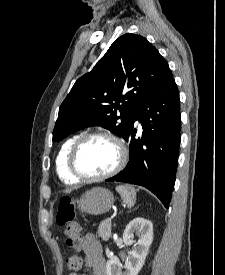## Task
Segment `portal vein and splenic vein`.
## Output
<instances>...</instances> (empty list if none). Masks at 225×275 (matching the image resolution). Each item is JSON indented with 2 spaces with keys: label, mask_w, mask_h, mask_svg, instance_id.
<instances>
[{
  "label": "portal vein and splenic vein",
  "mask_w": 225,
  "mask_h": 275,
  "mask_svg": "<svg viewBox=\"0 0 225 275\" xmlns=\"http://www.w3.org/2000/svg\"><path fill=\"white\" fill-rule=\"evenodd\" d=\"M107 221H111V218H107Z\"/></svg>",
  "instance_id": "portal-vein-and-splenic-vein-1"
}]
</instances>
